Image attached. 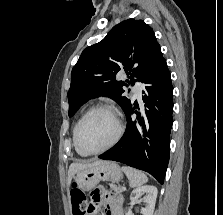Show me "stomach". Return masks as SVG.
I'll return each mask as SVG.
<instances>
[{"label":"stomach","instance_id":"1","mask_svg":"<svg viewBox=\"0 0 223 215\" xmlns=\"http://www.w3.org/2000/svg\"><path fill=\"white\" fill-rule=\"evenodd\" d=\"M122 177L123 173L118 163H115V161H101L98 165L78 171L73 177V179H77V184L70 190L91 191L102 179L103 181H120Z\"/></svg>","mask_w":223,"mask_h":215}]
</instances>
